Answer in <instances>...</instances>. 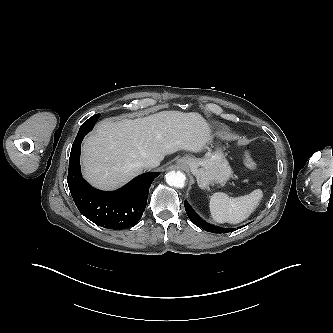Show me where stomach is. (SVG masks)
Returning <instances> with one entry per match:
<instances>
[{"label":"stomach","instance_id":"1","mask_svg":"<svg viewBox=\"0 0 333 333\" xmlns=\"http://www.w3.org/2000/svg\"><path fill=\"white\" fill-rule=\"evenodd\" d=\"M177 164L188 169L197 179L198 186L208 188L213 183H224L229 180L231 167L221 149L208 153L203 158L185 156Z\"/></svg>","mask_w":333,"mask_h":333}]
</instances>
